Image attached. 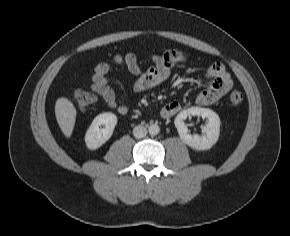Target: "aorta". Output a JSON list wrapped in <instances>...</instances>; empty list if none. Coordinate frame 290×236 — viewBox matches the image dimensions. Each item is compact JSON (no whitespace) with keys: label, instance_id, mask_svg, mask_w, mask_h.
<instances>
[{"label":"aorta","instance_id":"obj_1","mask_svg":"<svg viewBox=\"0 0 290 236\" xmlns=\"http://www.w3.org/2000/svg\"><path fill=\"white\" fill-rule=\"evenodd\" d=\"M149 134L150 135H157L160 132V128L156 124H152L148 128Z\"/></svg>","mask_w":290,"mask_h":236}]
</instances>
